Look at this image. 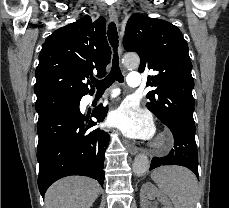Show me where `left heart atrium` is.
Listing matches in <instances>:
<instances>
[{"label": "left heart atrium", "mask_w": 229, "mask_h": 208, "mask_svg": "<svg viewBox=\"0 0 229 208\" xmlns=\"http://www.w3.org/2000/svg\"><path fill=\"white\" fill-rule=\"evenodd\" d=\"M107 124L131 138L149 139L153 135L151 115L136 102H123L109 116Z\"/></svg>", "instance_id": "obj_1"}]
</instances>
